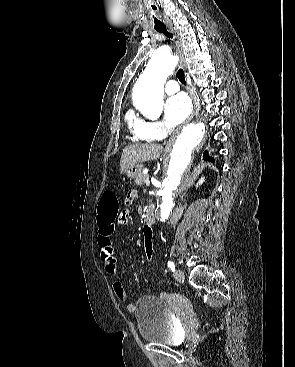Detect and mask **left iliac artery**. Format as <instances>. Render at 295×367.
I'll use <instances>...</instances> for the list:
<instances>
[{
	"label": "left iliac artery",
	"instance_id": "obj_1",
	"mask_svg": "<svg viewBox=\"0 0 295 367\" xmlns=\"http://www.w3.org/2000/svg\"><path fill=\"white\" fill-rule=\"evenodd\" d=\"M167 265L171 269L172 272H175V264L172 261H168Z\"/></svg>",
	"mask_w": 295,
	"mask_h": 367
}]
</instances>
